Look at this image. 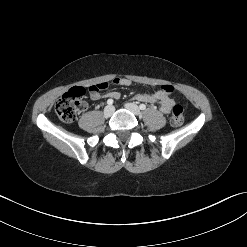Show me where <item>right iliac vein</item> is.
Here are the masks:
<instances>
[{"label": "right iliac vein", "mask_w": 247, "mask_h": 247, "mask_svg": "<svg viewBox=\"0 0 247 247\" xmlns=\"http://www.w3.org/2000/svg\"><path fill=\"white\" fill-rule=\"evenodd\" d=\"M115 109L113 106L108 105L104 108V115L110 117L114 113Z\"/></svg>", "instance_id": "63e3f726"}]
</instances>
